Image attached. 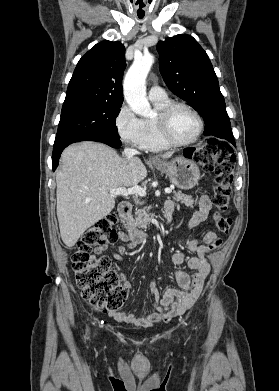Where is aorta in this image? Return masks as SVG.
Here are the masks:
<instances>
[{"label": "aorta", "instance_id": "aorta-1", "mask_svg": "<svg viewBox=\"0 0 279 391\" xmlns=\"http://www.w3.org/2000/svg\"><path fill=\"white\" fill-rule=\"evenodd\" d=\"M154 63V57L146 54L134 59L127 71L123 88L124 98L131 110L143 117H150L153 113L150 103L146 98V78Z\"/></svg>", "mask_w": 279, "mask_h": 391}]
</instances>
